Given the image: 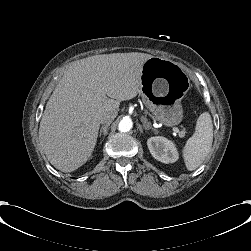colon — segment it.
<instances>
[{
    "label": "colon",
    "mask_w": 251,
    "mask_h": 251,
    "mask_svg": "<svg viewBox=\"0 0 251 251\" xmlns=\"http://www.w3.org/2000/svg\"><path fill=\"white\" fill-rule=\"evenodd\" d=\"M191 108V104H188V109H190Z\"/></svg>",
    "instance_id": "colon-1"
}]
</instances>
